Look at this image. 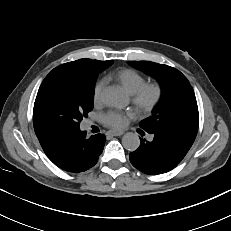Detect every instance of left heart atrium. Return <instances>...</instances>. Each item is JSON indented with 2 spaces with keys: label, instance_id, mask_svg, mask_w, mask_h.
<instances>
[{
  "label": "left heart atrium",
  "instance_id": "left-heart-atrium-1",
  "mask_svg": "<svg viewBox=\"0 0 231 231\" xmlns=\"http://www.w3.org/2000/svg\"><path fill=\"white\" fill-rule=\"evenodd\" d=\"M131 117L132 115L130 113L110 111L104 115L103 121L106 125L118 130L124 128L128 124Z\"/></svg>",
  "mask_w": 231,
  "mask_h": 231
}]
</instances>
